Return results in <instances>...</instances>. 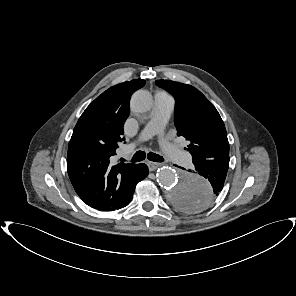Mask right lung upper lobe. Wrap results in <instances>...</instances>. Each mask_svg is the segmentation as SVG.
I'll return each instance as SVG.
<instances>
[{
	"label": "right lung upper lobe",
	"mask_w": 296,
	"mask_h": 296,
	"mask_svg": "<svg viewBox=\"0 0 296 296\" xmlns=\"http://www.w3.org/2000/svg\"><path fill=\"white\" fill-rule=\"evenodd\" d=\"M143 79L117 84L97 97L79 118L68 146L67 170L80 198L101 211L119 209L129 192V173L135 164L112 166L131 95Z\"/></svg>",
	"instance_id": "cb5924a9"
}]
</instances>
